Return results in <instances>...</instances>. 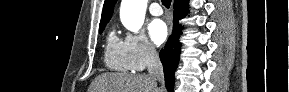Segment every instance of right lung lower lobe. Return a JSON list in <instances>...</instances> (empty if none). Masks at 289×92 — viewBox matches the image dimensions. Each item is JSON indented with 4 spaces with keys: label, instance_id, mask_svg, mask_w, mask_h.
Segmentation results:
<instances>
[{
    "label": "right lung lower lobe",
    "instance_id": "obj_1",
    "mask_svg": "<svg viewBox=\"0 0 289 92\" xmlns=\"http://www.w3.org/2000/svg\"><path fill=\"white\" fill-rule=\"evenodd\" d=\"M188 0H174V26L171 37L168 39L164 49L160 51V60L163 64L165 84L168 91L173 90L174 73L177 68L181 44L179 37L183 27L179 20L187 15Z\"/></svg>",
    "mask_w": 289,
    "mask_h": 92
}]
</instances>
